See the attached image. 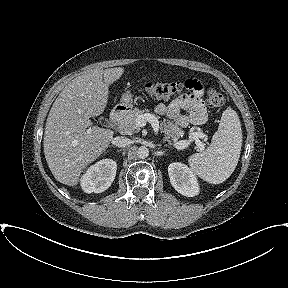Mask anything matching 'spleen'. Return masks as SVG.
<instances>
[{"instance_id":"obj_1","label":"spleen","mask_w":288,"mask_h":288,"mask_svg":"<svg viewBox=\"0 0 288 288\" xmlns=\"http://www.w3.org/2000/svg\"><path fill=\"white\" fill-rule=\"evenodd\" d=\"M242 147V130L237 113L227 108L210 146L188 158L190 169L201 179L220 184L235 170Z\"/></svg>"}]
</instances>
